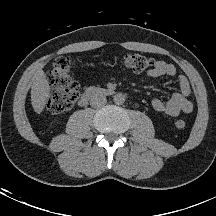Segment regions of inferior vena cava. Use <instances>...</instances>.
<instances>
[{"label": "inferior vena cava", "mask_w": 216, "mask_h": 216, "mask_svg": "<svg viewBox=\"0 0 216 216\" xmlns=\"http://www.w3.org/2000/svg\"><path fill=\"white\" fill-rule=\"evenodd\" d=\"M106 97L102 94H94L90 98V105L94 108H100L106 104Z\"/></svg>", "instance_id": "inferior-vena-cava-1"}]
</instances>
